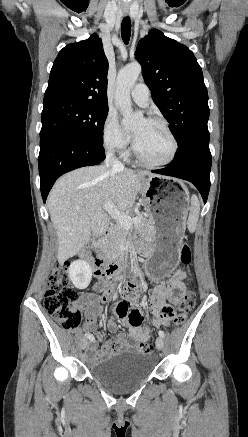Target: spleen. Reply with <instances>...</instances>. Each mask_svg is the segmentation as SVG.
<instances>
[{"instance_id": "obj_1", "label": "spleen", "mask_w": 248, "mask_h": 437, "mask_svg": "<svg viewBox=\"0 0 248 437\" xmlns=\"http://www.w3.org/2000/svg\"><path fill=\"white\" fill-rule=\"evenodd\" d=\"M200 213V203L196 195L191 197L190 213L187 220L188 230L192 233L196 230Z\"/></svg>"}]
</instances>
